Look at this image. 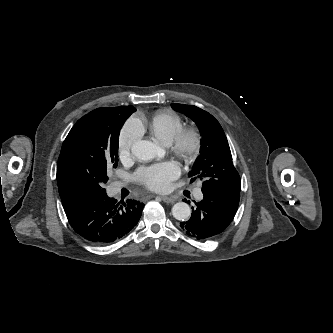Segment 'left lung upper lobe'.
I'll return each instance as SVG.
<instances>
[{
	"instance_id": "left-lung-upper-lobe-1",
	"label": "left lung upper lobe",
	"mask_w": 333,
	"mask_h": 333,
	"mask_svg": "<svg viewBox=\"0 0 333 333\" xmlns=\"http://www.w3.org/2000/svg\"><path fill=\"white\" fill-rule=\"evenodd\" d=\"M171 106L191 118L201 133L200 155L189 172V177H200L204 180L202 189L214 193H240V176L233 166L228 141L219 122L210 113L196 106L177 103Z\"/></svg>"
}]
</instances>
